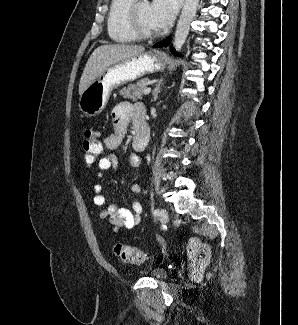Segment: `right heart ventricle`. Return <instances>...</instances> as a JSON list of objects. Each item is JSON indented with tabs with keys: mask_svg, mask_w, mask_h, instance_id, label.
<instances>
[{
	"mask_svg": "<svg viewBox=\"0 0 298 325\" xmlns=\"http://www.w3.org/2000/svg\"><path fill=\"white\" fill-rule=\"evenodd\" d=\"M130 0H115L111 3L107 17V33L115 41H128L129 44L135 39L124 29L123 18L125 9Z\"/></svg>",
	"mask_w": 298,
	"mask_h": 325,
	"instance_id": "obj_1",
	"label": "right heart ventricle"
}]
</instances>
